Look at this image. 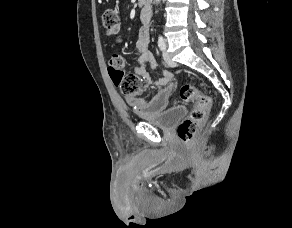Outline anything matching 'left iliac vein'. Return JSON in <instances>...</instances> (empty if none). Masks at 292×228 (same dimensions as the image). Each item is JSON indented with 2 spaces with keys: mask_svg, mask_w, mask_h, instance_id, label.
<instances>
[{
  "mask_svg": "<svg viewBox=\"0 0 292 228\" xmlns=\"http://www.w3.org/2000/svg\"><path fill=\"white\" fill-rule=\"evenodd\" d=\"M163 58L165 60V62L167 63V65H169L170 67H175L176 66V62H174L170 55L168 54V52L165 50L163 52Z\"/></svg>",
  "mask_w": 292,
  "mask_h": 228,
  "instance_id": "1",
  "label": "left iliac vein"
}]
</instances>
